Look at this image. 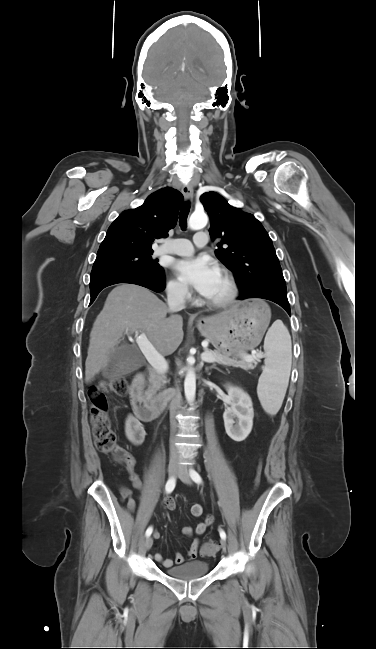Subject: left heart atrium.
Returning <instances> with one entry per match:
<instances>
[{
    "label": "left heart atrium",
    "instance_id": "left-heart-atrium-1",
    "mask_svg": "<svg viewBox=\"0 0 376 649\" xmlns=\"http://www.w3.org/2000/svg\"><path fill=\"white\" fill-rule=\"evenodd\" d=\"M178 278L206 296L219 275L216 263L208 257H193L175 264Z\"/></svg>",
    "mask_w": 376,
    "mask_h": 649
}]
</instances>
